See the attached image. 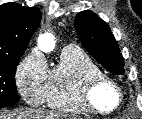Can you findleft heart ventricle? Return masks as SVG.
I'll return each mask as SVG.
<instances>
[{
	"label": "left heart ventricle",
	"mask_w": 142,
	"mask_h": 119,
	"mask_svg": "<svg viewBox=\"0 0 142 119\" xmlns=\"http://www.w3.org/2000/svg\"><path fill=\"white\" fill-rule=\"evenodd\" d=\"M115 100V94L109 87H102L95 93V101L103 109L110 108Z\"/></svg>",
	"instance_id": "1"
}]
</instances>
